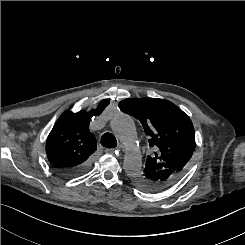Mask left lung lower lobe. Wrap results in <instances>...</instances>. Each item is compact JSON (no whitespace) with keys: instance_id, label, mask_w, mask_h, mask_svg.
I'll list each match as a JSON object with an SVG mask.
<instances>
[{"instance_id":"left-lung-lower-lobe-1","label":"left lung lower lobe","mask_w":245,"mask_h":245,"mask_svg":"<svg viewBox=\"0 0 245 245\" xmlns=\"http://www.w3.org/2000/svg\"><path fill=\"white\" fill-rule=\"evenodd\" d=\"M178 178V175L172 174L170 172L154 176V185L152 186V192H160L169 188L178 180Z\"/></svg>"}]
</instances>
